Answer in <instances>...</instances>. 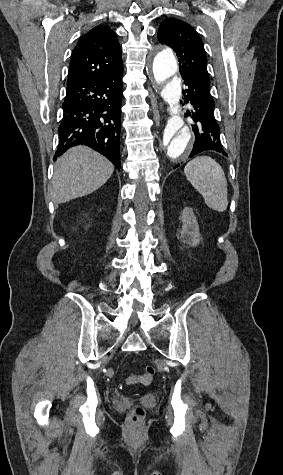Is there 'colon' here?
I'll use <instances>...</instances> for the list:
<instances>
[{
  "label": "colon",
  "mask_w": 283,
  "mask_h": 475,
  "mask_svg": "<svg viewBox=\"0 0 283 475\" xmlns=\"http://www.w3.org/2000/svg\"><path fill=\"white\" fill-rule=\"evenodd\" d=\"M156 373V369L154 366L152 365H147L145 367V374L144 376L148 379L152 378ZM145 416V410L144 408L137 404L135 407H134V410L130 413L129 415V419L131 422H138L140 420H142Z\"/></svg>",
  "instance_id": "colon-1"
}]
</instances>
